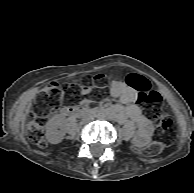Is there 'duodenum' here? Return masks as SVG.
I'll return each mask as SVG.
<instances>
[{"label": "duodenum", "instance_id": "1", "mask_svg": "<svg viewBox=\"0 0 194 193\" xmlns=\"http://www.w3.org/2000/svg\"><path fill=\"white\" fill-rule=\"evenodd\" d=\"M62 112L65 115L77 116V115L89 113L90 110L81 106H66L63 108ZM94 113H98V112H94Z\"/></svg>", "mask_w": 194, "mask_h": 193}]
</instances>
